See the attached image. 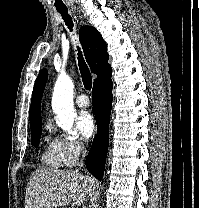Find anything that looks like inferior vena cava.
Returning <instances> with one entry per match:
<instances>
[{
  "instance_id": "obj_1",
  "label": "inferior vena cava",
  "mask_w": 199,
  "mask_h": 208,
  "mask_svg": "<svg viewBox=\"0 0 199 208\" xmlns=\"http://www.w3.org/2000/svg\"><path fill=\"white\" fill-rule=\"evenodd\" d=\"M79 151L82 155V159H81V162L78 164L79 168H78L77 171H79L84 166V161L83 160H84V157H85V154H86V149H85V147L83 146L82 143L79 145Z\"/></svg>"
}]
</instances>
